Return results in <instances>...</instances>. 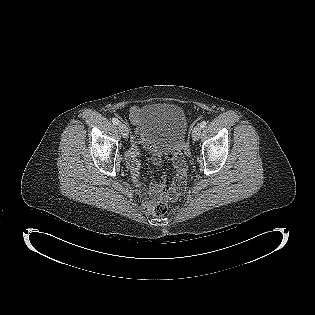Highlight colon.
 Instances as JSON below:
<instances>
[{"mask_svg": "<svg viewBox=\"0 0 315 315\" xmlns=\"http://www.w3.org/2000/svg\"><path fill=\"white\" fill-rule=\"evenodd\" d=\"M185 174H186V168L184 171L179 172L178 177L173 183V187L171 189V192L169 194L170 198H173L179 194H181L185 190ZM168 209V204L165 200H159L153 203H145L143 205V210L146 213H149L156 217L163 216Z\"/></svg>", "mask_w": 315, "mask_h": 315, "instance_id": "5ec220e1", "label": "colon"}]
</instances>
